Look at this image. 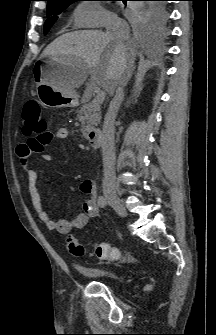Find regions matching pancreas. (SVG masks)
<instances>
[{
    "instance_id": "pancreas-1",
    "label": "pancreas",
    "mask_w": 216,
    "mask_h": 335,
    "mask_svg": "<svg viewBox=\"0 0 216 335\" xmlns=\"http://www.w3.org/2000/svg\"><path fill=\"white\" fill-rule=\"evenodd\" d=\"M92 95V90L88 89L82 99V107L78 111V119L82 124L81 132L83 136L87 134L90 129L97 126L101 120V105L94 101L89 102L88 100Z\"/></svg>"
}]
</instances>
